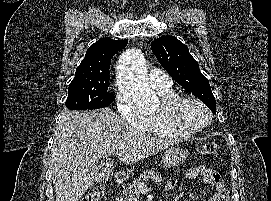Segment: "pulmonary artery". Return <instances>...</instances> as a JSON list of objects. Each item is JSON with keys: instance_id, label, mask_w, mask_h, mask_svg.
Masks as SVG:
<instances>
[{"instance_id": "e3ab8cb5", "label": "pulmonary artery", "mask_w": 271, "mask_h": 201, "mask_svg": "<svg viewBox=\"0 0 271 201\" xmlns=\"http://www.w3.org/2000/svg\"><path fill=\"white\" fill-rule=\"evenodd\" d=\"M149 80L155 88H168L171 87V78L163 71L159 69H152L149 73Z\"/></svg>"}]
</instances>
